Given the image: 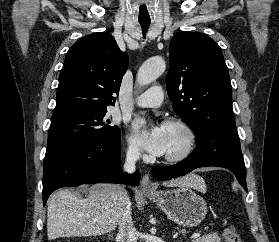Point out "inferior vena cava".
Instances as JSON below:
<instances>
[{
  "instance_id": "602c4592",
  "label": "inferior vena cava",
  "mask_w": 279,
  "mask_h": 242,
  "mask_svg": "<svg viewBox=\"0 0 279 242\" xmlns=\"http://www.w3.org/2000/svg\"><path fill=\"white\" fill-rule=\"evenodd\" d=\"M139 155L140 153L137 148H130L127 151L123 168L124 171H126L127 173H133L135 171V163L139 159ZM118 225V236L120 237L122 242H137V231L132 221L131 202L124 188Z\"/></svg>"
}]
</instances>
